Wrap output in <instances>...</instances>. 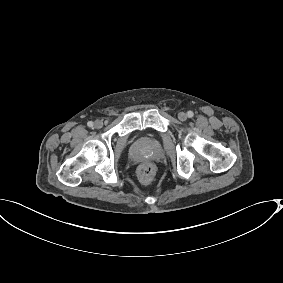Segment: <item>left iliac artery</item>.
Wrapping results in <instances>:
<instances>
[{
  "mask_svg": "<svg viewBox=\"0 0 283 283\" xmlns=\"http://www.w3.org/2000/svg\"><path fill=\"white\" fill-rule=\"evenodd\" d=\"M187 116H188L189 118H192V117L194 116V113H193L192 111H188V112H187Z\"/></svg>",
  "mask_w": 283,
  "mask_h": 283,
  "instance_id": "44dca946",
  "label": "left iliac artery"
}]
</instances>
